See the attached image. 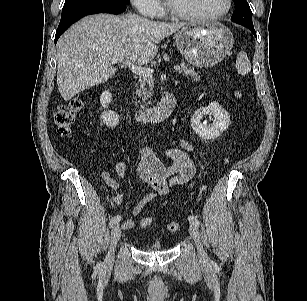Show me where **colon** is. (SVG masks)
Segmentation results:
<instances>
[{"label":"colon","instance_id":"1","mask_svg":"<svg viewBox=\"0 0 307 301\" xmlns=\"http://www.w3.org/2000/svg\"><path fill=\"white\" fill-rule=\"evenodd\" d=\"M85 105L84 97H77L68 102L61 103L57 105L56 109L53 112V122L58 129V132L63 136H69L71 134L72 125L83 109ZM153 222L152 217H143L140 221V226L142 228H148ZM170 231H176L178 225L175 222H171L168 226Z\"/></svg>","mask_w":307,"mask_h":301}]
</instances>
